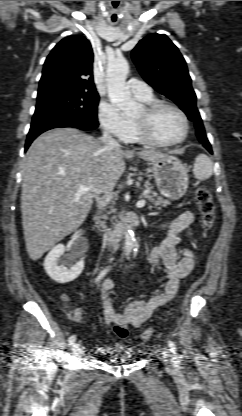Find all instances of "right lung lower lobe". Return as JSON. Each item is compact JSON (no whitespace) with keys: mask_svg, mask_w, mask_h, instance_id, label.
<instances>
[{"mask_svg":"<svg viewBox=\"0 0 242 416\" xmlns=\"http://www.w3.org/2000/svg\"><path fill=\"white\" fill-rule=\"evenodd\" d=\"M57 127H74V128H78V129H81V130H93V129H95V128L89 126V125H86L85 123L79 122L77 120L68 119V118L44 119V120H41V121L31 125L30 131L27 135V140H26V144H25V151L28 149L31 142L38 135H40L41 133H43L47 130H50L52 128H57Z\"/></svg>","mask_w":242,"mask_h":416,"instance_id":"1","label":"right lung lower lobe"}]
</instances>
